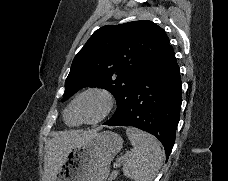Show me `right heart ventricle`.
<instances>
[{
    "instance_id": "1",
    "label": "right heart ventricle",
    "mask_w": 228,
    "mask_h": 181,
    "mask_svg": "<svg viewBox=\"0 0 228 181\" xmlns=\"http://www.w3.org/2000/svg\"><path fill=\"white\" fill-rule=\"evenodd\" d=\"M66 119L69 124L74 125L78 122V117L75 114L73 105H70L67 112H66Z\"/></svg>"
}]
</instances>
